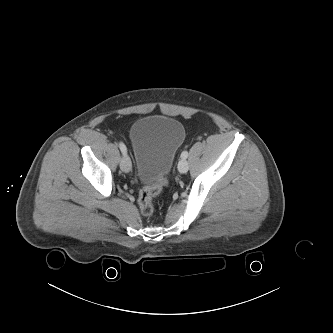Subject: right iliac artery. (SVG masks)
I'll use <instances>...</instances> for the list:
<instances>
[{
    "label": "right iliac artery",
    "instance_id": "1",
    "mask_svg": "<svg viewBox=\"0 0 333 333\" xmlns=\"http://www.w3.org/2000/svg\"><path fill=\"white\" fill-rule=\"evenodd\" d=\"M119 148H120V150H121V152L123 153V154H126L127 153V148H126V146L122 143V142H119Z\"/></svg>",
    "mask_w": 333,
    "mask_h": 333
}]
</instances>
